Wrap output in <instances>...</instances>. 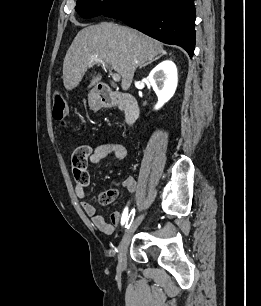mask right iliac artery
Instances as JSON below:
<instances>
[{
	"instance_id": "obj_1",
	"label": "right iliac artery",
	"mask_w": 261,
	"mask_h": 306,
	"mask_svg": "<svg viewBox=\"0 0 261 306\" xmlns=\"http://www.w3.org/2000/svg\"><path fill=\"white\" fill-rule=\"evenodd\" d=\"M134 216H135V209H132L130 214L128 215V208H125L122 215L121 225L123 226L125 224V228H129L130 225L132 224Z\"/></svg>"
}]
</instances>
